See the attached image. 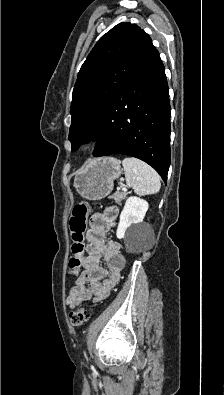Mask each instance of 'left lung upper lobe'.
I'll return each mask as SVG.
<instances>
[{
  "instance_id": "5c2ea615",
  "label": "left lung upper lobe",
  "mask_w": 224,
  "mask_h": 395,
  "mask_svg": "<svg viewBox=\"0 0 224 395\" xmlns=\"http://www.w3.org/2000/svg\"><path fill=\"white\" fill-rule=\"evenodd\" d=\"M155 49L149 35L130 23H119L98 40L73 89L69 132L72 150L80 142L95 140L104 112Z\"/></svg>"
}]
</instances>
